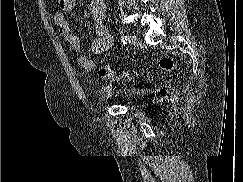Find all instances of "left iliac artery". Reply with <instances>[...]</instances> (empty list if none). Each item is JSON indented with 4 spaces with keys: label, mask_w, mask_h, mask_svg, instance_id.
<instances>
[{
    "label": "left iliac artery",
    "mask_w": 243,
    "mask_h": 182,
    "mask_svg": "<svg viewBox=\"0 0 243 182\" xmlns=\"http://www.w3.org/2000/svg\"><path fill=\"white\" fill-rule=\"evenodd\" d=\"M121 41L123 42L124 45H126L127 42H128V36L127 35H122L121 36Z\"/></svg>",
    "instance_id": "obj_1"
}]
</instances>
